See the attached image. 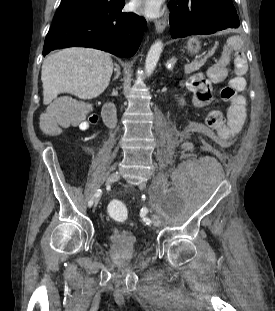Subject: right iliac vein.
Wrapping results in <instances>:
<instances>
[{"instance_id":"right-iliac-vein-1","label":"right iliac vein","mask_w":275,"mask_h":311,"mask_svg":"<svg viewBox=\"0 0 275 311\" xmlns=\"http://www.w3.org/2000/svg\"><path fill=\"white\" fill-rule=\"evenodd\" d=\"M119 177H120L119 172H118V171H114V172H112V173L108 176V178H107V180H106V183H107V184H112V183L116 182V181L119 179ZM98 202H99V199L97 198V199L95 200L94 206H96V205L98 204Z\"/></svg>"}]
</instances>
